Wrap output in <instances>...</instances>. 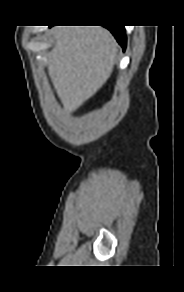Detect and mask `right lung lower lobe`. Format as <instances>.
Instances as JSON below:
<instances>
[{"label": "right lung lower lobe", "mask_w": 184, "mask_h": 292, "mask_svg": "<svg viewBox=\"0 0 184 292\" xmlns=\"http://www.w3.org/2000/svg\"><path fill=\"white\" fill-rule=\"evenodd\" d=\"M51 27V26H50ZM111 33L115 36L118 43L125 49L126 47V35L124 26H114V27H106Z\"/></svg>", "instance_id": "right-lung-lower-lobe-1"}]
</instances>
